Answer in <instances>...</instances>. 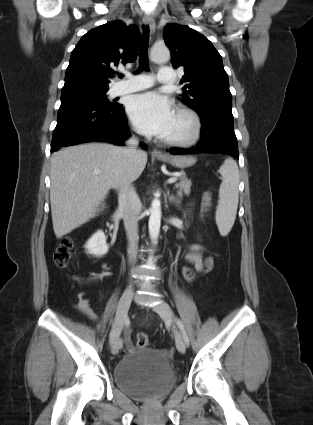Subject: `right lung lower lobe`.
I'll use <instances>...</instances> for the list:
<instances>
[{
  "label": "right lung lower lobe",
  "instance_id": "obj_1",
  "mask_svg": "<svg viewBox=\"0 0 313 425\" xmlns=\"http://www.w3.org/2000/svg\"><path fill=\"white\" fill-rule=\"evenodd\" d=\"M129 136L121 104L108 105L83 94L65 92L61 95L51 152L90 141L123 145ZM141 146L146 148L144 144Z\"/></svg>",
  "mask_w": 313,
  "mask_h": 425
}]
</instances>
